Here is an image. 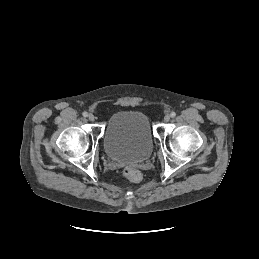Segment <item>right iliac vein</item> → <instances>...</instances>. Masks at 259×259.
<instances>
[{"instance_id": "obj_1", "label": "right iliac vein", "mask_w": 259, "mask_h": 259, "mask_svg": "<svg viewBox=\"0 0 259 259\" xmlns=\"http://www.w3.org/2000/svg\"><path fill=\"white\" fill-rule=\"evenodd\" d=\"M88 119H89L90 121H94V120H95V116H94L93 114H89V115H88Z\"/></svg>"}]
</instances>
